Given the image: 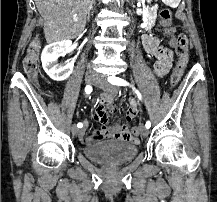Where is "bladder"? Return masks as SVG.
Returning <instances> with one entry per match:
<instances>
[{
    "instance_id": "1",
    "label": "bladder",
    "mask_w": 217,
    "mask_h": 202,
    "mask_svg": "<svg viewBox=\"0 0 217 202\" xmlns=\"http://www.w3.org/2000/svg\"><path fill=\"white\" fill-rule=\"evenodd\" d=\"M86 157L105 165L127 163L137 156L138 143L127 141H105L84 147Z\"/></svg>"
}]
</instances>
